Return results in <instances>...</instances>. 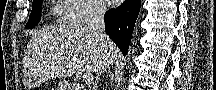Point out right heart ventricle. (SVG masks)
Returning <instances> with one entry per match:
<instances>
[{
	"label": "right heart ventricle",
	"mask_w": 216,
	"mask_h": 90,
	"mask_svg": "<svg viewBox=\"0 0 216 90\" xmlns=\"http://www.w3.org/2000/svg\"><path fill=\"white\" fill-rule=\"evenodd\" d=\"M75 4H56L51 7L55 19H70L72 13H76ZM51 24H70V20H51Z\"/></svg>",
	"instance_id": "1"
}]
</instances>
